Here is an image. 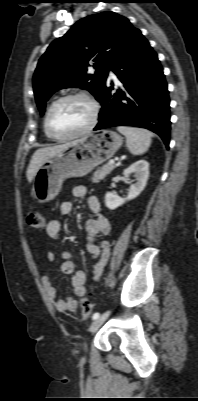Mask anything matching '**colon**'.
Masks as SVG:
<instances>
[{
	"instance_id": "colon-1",
	"label": "colon",
	"mask_w": 198,
	"mask_h": 401,
	"mask_svg": "<svg viewBox=\"0 0 198 401\" xmlns=\"http://www.w3.org/2000/svg\"><path fill=\"white\" fill-rule=\"evenodd\" d=\"M30 227L41 229L45 226V219L41 211L32 210L28 214L27 218ZM82 317L84 319L88 318L92 312L93 305L88 298H83L81 301Z\"/></svg>"
}]
</instances>
